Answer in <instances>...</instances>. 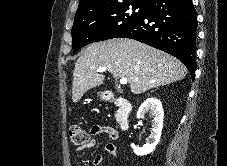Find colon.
<instances>
[{"mask_svg":"<svg viewBox=\"0 0 227 166\" xmlns=\"http://www.w3.org/2000/svg\"><path fill=\"white\" fill-rule=\"evenodd\" d=\"M69 138L73 146H86L91 141L89 133L78 125L69 128Z\"/></svg>","mask_w":227,"mask_h":166,"instance_id":"5ec220e1","label":"colon"}]
</instances>
